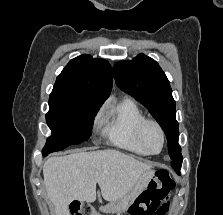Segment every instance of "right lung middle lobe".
Instances as JSON below:
<instances>
[{
	"label": "right lung middle lobe",
	"instance_id": "1",
	"mask_svg": "<svg viewBox=\"0 0 223 215\" xmlns=\"http://www.w3.org/2000/svg\"><path fill=\"white\" fill-rule=\"evenodd\" d=\"M100 106L49 104L46 121L51 129L42 150L43 155L60 151L69 145L89 139L96 113Z\"/></svg>",
	"mask_w": 223,
	"mask_h": 215
}]
</instances>
